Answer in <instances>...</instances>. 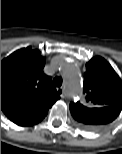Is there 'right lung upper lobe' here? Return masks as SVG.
<instances>
[{"label": "right lung upper lobe", "instance_id": "1", "mask_svg": "<svg viewBox=\"0 0 122 154\" xmlns=\"http://www.w3.org/2000/svg\"><path fill=\"white\" fill-rule=\"evenodd\" d=\"M45 58L31 47L12 53L1 61V110L15 124L39 123L60 98L43 72Z\"/></svg>", "mask_w": 122, "mask_h": 154}]
</instances>
